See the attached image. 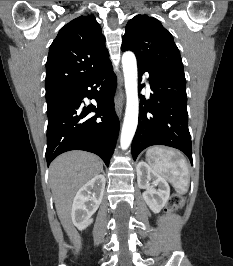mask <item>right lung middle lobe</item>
<instances>
[{
	"mask_svg": "<svg viewBox=\"0 0 233 266\" xmlns=\"http://www.w3.org/2000/svg\"><path fill=\"white\" fill-rule=\"evenodd\" d=\"M70 91L71 90H64V91H54L46 93L47 105L67 95Z\"/></svg>",
	"mask_w": 233,
	"mask_h": 266,
	"instance_id": "dd1d6c3e",
	"label": "right lung middle lobe"
}]
</instances>
